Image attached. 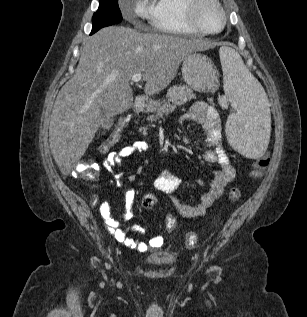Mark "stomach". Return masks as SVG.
Returning <instances> with one entry per match:
<instances>
[{
  "label": "stomach",
  "instance_id": "stomach-1",
  "mask_svg": "<svg viewBox=\"0 0 307 317\" xmlns=\"http://www.w3.org/2000/svg\"><path fill=\"white\" fill-rule=\"evenodd\" d=\"M184 81L193 89L214 91L217 88L218 76L213 62L209 57L197 52L187 54L182 60ZM157 108L155 102L150 103L148 111Z\"/></svg>",
  "mask_w": 307,
  "mask_h": 317
}]
</instances>
